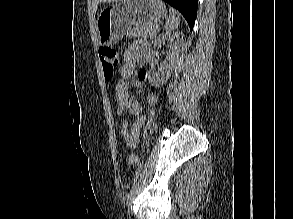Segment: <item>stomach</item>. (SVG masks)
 Returning <instances> with one entry per match:
<instances>
[{
    "instance_id": "stomach-1",
    "label": "stomach",
    "mask_w": 293,
    "mask_h": 219,
    "mask_svg": "<svg viewBox=\"0 0 293 219\" xmlns=\"http://www.w3.org/2000/svg\"><path fill=\"white\" fill-rule=\"evenodd\" d=\"M167 16L162 0H123L104 7L97 18V34L101 46L121 39L133 25L158 22Z\"/></svg>"
}]
</instances>
